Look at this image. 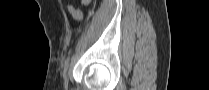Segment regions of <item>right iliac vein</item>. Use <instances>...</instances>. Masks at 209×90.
<instances>
[{"instance_id":"right-iliac-vein-1","label":"right iliac vein","mask_w":209,"mask_h":90,"mask_svg":"<svg viewBox=\"0 0 209 90\" xmlns=\"http://www.w3.org/2000/svg\"><path fill=\"white\" fill-rule=\"evenodd\" d=\"M65 88H67V86H68V77H67V74L65 75Z\"/></svg>"}]
</instances>
